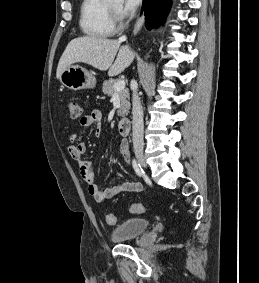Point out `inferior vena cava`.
<instances>
[{"label": "inferior vena cava", "mask_w": 259, "mask_h": 283, "mask_svg": "<svg viewBox=\"0 0 259 283\" xmlns=\"http://www.w3.org/2000/svg\"><path fill=\"white\" fill-rule=\"evenodd\" d=\"M133 88L132 94V114H133V146L134 149H143L144 146V123H143V110L140 102V98L137 93V82L131 81Z\"/></svg>", "instance_id": "602c4592"}]
</instances>
